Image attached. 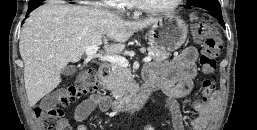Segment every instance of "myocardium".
<instances>
[{
	"instance_id": "1",
	"label": "myocardium",
	"mask_w": 257,
	"mask_h": 130,
	"mask_svg": "<svg viewBox=\"0 0 257 130\" xmlns=\"http://www.w3.org/2000/svg\"><path fill=\"white\" fill-rule=\"evenodd\" d=\"M136 7L148 14H153V15H159V14H166L174 11L176 8H178L183 0H175L172 4L163 7V8H153L149 7L144 3L143 0H134Z\"/></svg>"
}]
</instances>
